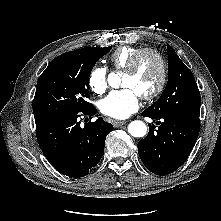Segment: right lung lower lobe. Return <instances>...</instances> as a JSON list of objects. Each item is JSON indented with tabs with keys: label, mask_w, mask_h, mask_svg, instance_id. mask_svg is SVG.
Instances as JSON below:
<instances>
[{
	"label": "right lung lower lobe",
	"mask_w": 221,
	"mask_h": 221,
	"mask_svg": "<svg viewBox=\"0 0 221 221\" xmlns=\"http://www.w3.org/2000/svg\"><path fill=\"white\" fill-rule=\"evenodd\" d=\"M96 108L85 112L93 115ZM76 115L43 118L36 122L39 146L47 160L69 177L86 176L100 161L106 136L113 130L110 123L99 117L80 126Z\"/></svg>",
	"instance_id": "right-lung-lower-lobe-1"
}]
</instances>
